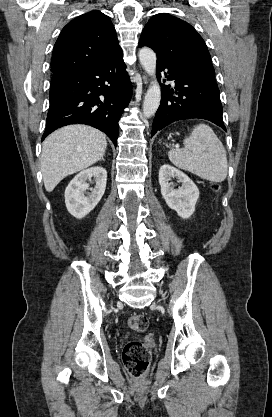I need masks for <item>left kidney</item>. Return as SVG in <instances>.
Instances as JSON below:
<instances>
[{
	"label": "left kidney",
	"mask_w": 272,
	"mask_h": 417,
	"mask_svg": "<svg viewBox=\"0 0 272 417\" xmlns=\"http://www.w3.org/2000/svg\"><path fill=\"white\" fill-rule=\"evenodd\" d=\"M172 178H176L182 186L175 189L170 183ZM159 184L168 207L175 210L181 218H189L195 211V204L199 198V190L195 183L182 171L164 164L159 170Z\"/></svg>",
	"instance_id": "5707ae66"
}]
</instances>
